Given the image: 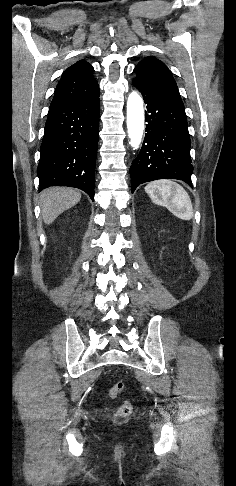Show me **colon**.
Instances as JSON below:
<instances>
[{
    "mask_svg": "<svg viewBox=\"0 0 236 486\" xmlns=\"http://www.w3.org/2000/svg\"><path fill=\"white\" fill-rule=\"evenodd\" d=\"M124 385L122 382H117L114 384L107 392V396L111 399L116 398L122 391ZM133 411V406L130 401H124L120 406L117 408L116 415L118 417H127Z\"/></svg>",
    "mask_w": 236,
    "mask_h": 486,
    "instance_id": "1",
    "label": "colon"
}]
</instances>
